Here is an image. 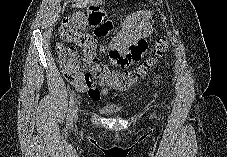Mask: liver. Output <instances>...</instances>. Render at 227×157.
<instances>
[{
  "label": "liver",
  "instance_id": "liver-1",
  "mask_svg": "<svg viewBox=\"0 0 227 157\" xmlns=\"http://www.w3.org/2000/svg\"><path fill=\"white\" fill-rule=\"evenodd\" d=\"M88 2H89L88 0L85 1V3H88Z\"/></svg>",
  "mask_w": 227,
  "mask_h": 157
}]
</instances>
